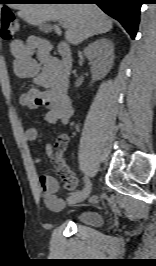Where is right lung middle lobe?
<instances>
[{
  "mask_svg": "<svg viewBox=\"0 0 156 266\" xmlns=\"http://www.w3.org/2000/svg\"><path fill=\"white\" fill-rule=\"evenodd\" d=\"M5 0H1L0 3L4 2ZM22 1H28V0H22Z\"/></svg>",
  "mask_w": 156,
  "mask_h": 266,
  "instance_id": "1",
  "label": "right lung middle lobe"
}]
</instances>
